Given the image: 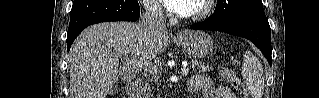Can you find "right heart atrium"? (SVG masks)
Listing matches in <instances>:
<instances>
[{"mask_svg":"<svg viewBox=\"0 0 319 98\" xmlns=\"http://www.w3.org/2000/svg\"><path fill=\"white\" fill-rule=\"evenodd\" d=\"M148 12L153 16H160L163 14L162 8L156 2L148 5Z\"/></svg>","mask_w":319,"mask_h":98,"instance_id":"d8ad5b80","label":"right heart atrium"}]
</instances>
